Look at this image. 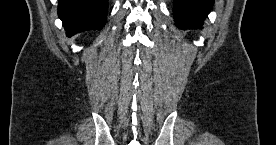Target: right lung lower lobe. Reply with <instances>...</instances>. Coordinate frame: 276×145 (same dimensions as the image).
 <instances>
[{
  "mask_svg": "<svg viewBox=\"0 0 276 145\" xmlns=\"http://www.w3.org/2000/svg\"><path fill=\"white\" fill-rule=\"evenodd\" d=\"M108 0H59L58 14L68 36L100 30L106 21Z\"/></svg>",
  "mask_w": 276,
  "mask_h": 145,
  "instance_id": "98d812e1",
  "label": "right lung lower lobe"
}]
</instances>
